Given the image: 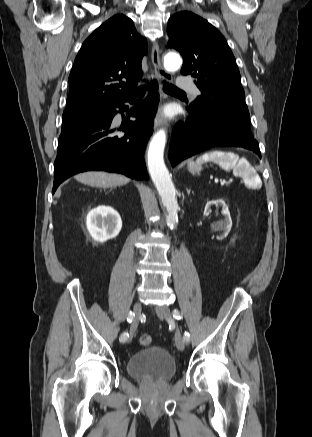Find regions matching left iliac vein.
Masks as SVG:
<instances>
[{"label":"left iliac vein","instance_id":"obj_1","mask_svg":"<svg viewBox=\"0 0 312 437\" xmlns=\"http://www.w3.org/2000/svg\"><path fill=\"white\" fill-rule=\"evenodd\" d=\"M155 311L159 318L161 319H169L171 317L170 309L168 306H157L155 308ZM175 343L178 350L183 351L185 349V340L182 338L179 332H176L175 335Z\"/></svg>","mask_w":312,"mask_h":437}]
</instances>
